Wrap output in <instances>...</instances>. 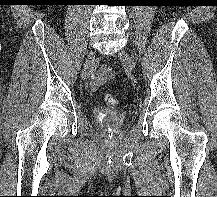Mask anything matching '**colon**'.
Returning <instances> with one entry per match:
<instances>
[{
    "label": "colon",
    "mask_w": 217,
    "mask_h": 197,
    "mask_svg": "<svg viewBox=\"0 0 217 197\" xmlns=\"http://www.w3.org/2000/svg\"><path fill=\"white\" fill-rule=\"evenodd\" d=\"M105 101H106V104L112 108L116 107L119 103L118 99L112 95H107L105 97Z\"/></svg>",
    "instance_id": "obj_1"
}]
</instances>
